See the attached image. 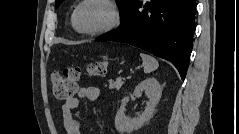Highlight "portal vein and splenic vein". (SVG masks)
I'll return each mask as SVG.
<instances>
[{"label":"portal vein and splenic vein","mask_w":239,"mask_h":134,"mask_svg":"<svg viewBox=\"0 0 239 134\" xmlns=\"http://www.w3.org/2000/svg\"><path fill=\"white\" fill-rule=\"evenodd\" d=\"M126 78H129V76L128 77H124L123 79L125 80Z\"/></svg>","instance_id":"obj_1"}]
</instances>
